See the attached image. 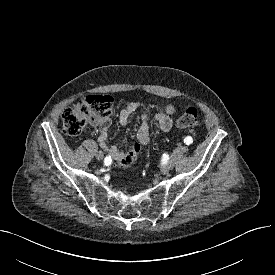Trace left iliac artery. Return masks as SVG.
Wrapping results in <instances>:
<instances>
[{
    "instance_id": "44dca946",
    "label": "left iliac artery",
    "mask_w": 275,
    "mask_h": 275,
    "mask_svg": "<svg viewBox=\"0 0 275 275\" xmlns=\"http://www.w3.org/2000/svg\"><path fill=\"white\" fill-rule=\"evenodd\" d=\"M184 143H185L186 145H190V144H192V143H193V139H192V137H191V136H187V137H185V139H184Z\"/></svg>"
}]
</instances>
